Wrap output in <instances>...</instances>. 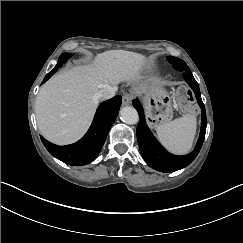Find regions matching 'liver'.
<instances>
[{
  "mask_svg": "<svg viewBox=\"0 0 243 243\" xmlns=\"http://www.w3.org/2000/svg\"><path fill=\"white\" fill-rule=\"evenodd\" d=\"M150 69L144 55L109 50L97 54L92 64L62 70L40 89L35 103L37 126L52 143L67 145L79 140L88 130L99 103L98 92L104 85L128 81L136 94H144L154 84L141 72ZM138 85V86H135Z\"/></svg>",
  "mask_w": 243,
  "mask_h": 243,
  "instance_id": "1",
  "label": "liver"
}]
</instances>
